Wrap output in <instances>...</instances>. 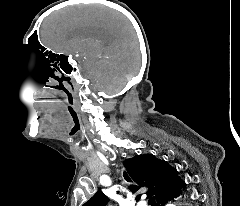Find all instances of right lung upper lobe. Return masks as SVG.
<instances>
[{
	"instance_id": "1",
	"label": "right lung upper lobe",
	"mask_w": 240,
	"mask_h": 206,
	"mask_svg": "<svg viewBox=\"0 0 240 206\" xmlns=\"http://www.w3.org/2000/svg\"><path fill=\"white\" fill-rule=\"evenodd\" d=\"M124 166L135 182V185L130 188L135 192L141 187H147L148 193L155 198L157 203L184 185L175 168L152 154L136 155L126 159ZM140 196L138 195L136 200H139ZM108 201L109 198L98 191L83 206H105Z\"/></svg>"
}]
</instances>
